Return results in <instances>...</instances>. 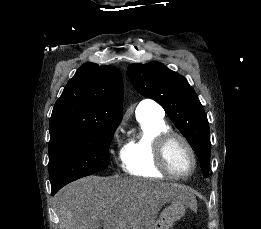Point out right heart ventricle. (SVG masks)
<instances>
[{"mask_svg": "<svg viewBox=\"0 0 261 229\" xmlns=\"http://www.w3.org/2000/svg\"><path fill=\"white\" fill-rule=\"evenodd\" d=\"M136 113L144 114L143 117L137 118L141 125V133L122 146L120 157L123 169L131 175L143 177L162 174L163 171L155 158V144L161 134L170 131V127L164 115L157 116L152 112Z\"/></svg>", "mask_w": 261, "mask_h": 229, "instance_id": "e07e8e85", "label": "right heart ventricle"}]
</instances>
